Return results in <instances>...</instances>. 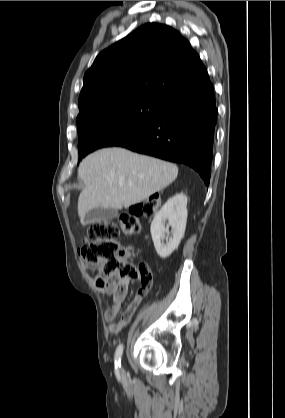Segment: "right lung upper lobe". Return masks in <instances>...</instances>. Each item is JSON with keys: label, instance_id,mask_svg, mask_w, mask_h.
Instances as JSON below:
<instances>
[{"label": "right lung upper lobe", "instance_id": "obj_1", "mask_svg": "<svg viewBox=\"0 0 285 418\" xmlns=\"http://www.w3.org/2000/svg\"><path fill=\"white\" fill-rule=\"evenodd\" d=\"M207 75L197 52L177 30L147 23L96 57L84 75L77 122L112 105H164Z\"/></svg>", "mask_w": 285, "mask_h": 418}]
</instances>
